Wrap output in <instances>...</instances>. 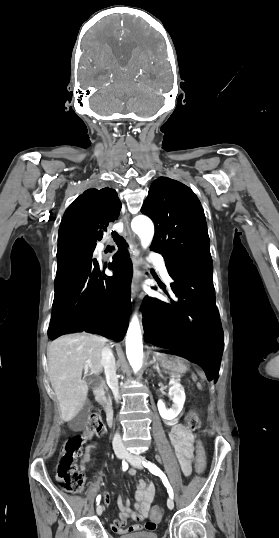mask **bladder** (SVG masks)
Returning a JSON list of instances; mask_svg holds the SVG:
<instances>
[{"label":"bladder","instance_id":"obj_1","mask_svg":"<svg viewBox=\"0 0 279 538\" xmlns=\"http://www.w3.org/2000/svg\"><path fill=\"white\" fill-rule=\"evenodd\" d=\"M122 538H160L155 532H123Z\"/></svg>","mask_w":279,"mask_h":538}]
</instances>
